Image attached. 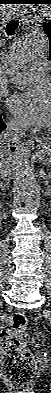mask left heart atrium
I'll return each instance as SVG.
<instances>
[{
    "label": "left heart atrium",
    "instance_id": "39dd6f15",
    "mask_svg": "<svg viewBox=\"0 0 51 393\" xmlns=\"http://www.w3.org/2000/svg\"><path fill=\"white\" fill-rule=\"evenodd\" d=\"M10 106L16 117L26 125L47 127L51 122V99L46 90L36 89L15 95Z\"/></svg>",
    "mask_w": 51,
    "mask_h": 393
}]
</instances>
